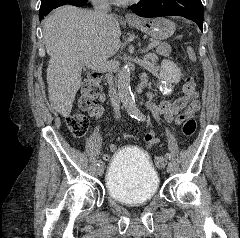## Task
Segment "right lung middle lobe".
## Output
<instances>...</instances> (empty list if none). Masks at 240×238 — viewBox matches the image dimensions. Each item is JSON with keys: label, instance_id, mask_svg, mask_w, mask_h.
I'll return each instance as SVG.
<instances>
[{"label": "right lung middle lobe", "instance_id": "obj_1", "mask_svg": "<svg viewBox=\"0 0 240 238\" xmlns=\"http://www.w3.org/2000/svg\"><path fill=\"white\" fill-rule=\"evenodd\" d=\"M69 0H41L39 15L45 14L59 2H68Z\"/></svg>", "mask_w": 240, "mask_h": 238}]
</instances>
